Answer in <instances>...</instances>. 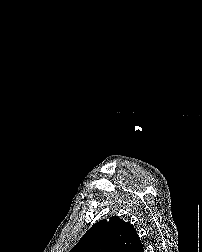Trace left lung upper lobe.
Listing matches in <instances>:
<instances>
[{"instance_id":"obj_1","label":"left lung upper lobe","mask_w":202,"mask_h":252,"mask_svg":"<svg viewBox=\"0 0 202 252\" xmlns=\"http://www.w3.org/2000/svg\"><path fill=\"white\" fill-rule=\"evenodd\" d=\"M139 242L132 225L113 216L94 224L70 252H135Z\"/></svg>"}]
</instances>
